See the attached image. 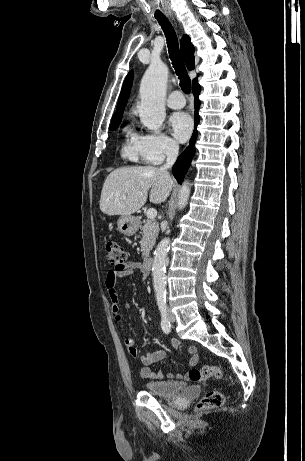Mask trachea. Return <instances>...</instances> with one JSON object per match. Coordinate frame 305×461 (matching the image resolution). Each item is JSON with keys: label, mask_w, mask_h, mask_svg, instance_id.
<instances>
[{"label": "trachea", "mask_w": 305, "mask_h": 461, "mask_svg": "<svg viewBox=\"0 0 305 461\" xmlns=\"http://www.w3.org/2000/svg\"><path fill=\"white\" fill-rule=\"evenodd\" d=\"M156 19L161 25L166 36L169 56L175 72L180 79L181 89L184 93L189 94L191 91V80L180 54L176 32L166 17H158Z\"/></svg>", "instance_id": "1"}]
</instances>
